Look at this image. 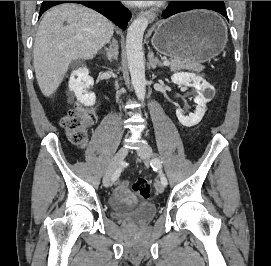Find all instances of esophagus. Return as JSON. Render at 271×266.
<instances>
[{
    "instance_id": "obj_1",
    "label": "esophagus",
    "mask_w": 271,
    "mask_h": 266,
    "mask_svg": "<svg viewBox=\"0 0 271 266\" xmlns=\"http://www.w3.org/2000/svg\"><path fill=\"white\" fill-rule=\"evenodd\" d=\"M138 17H146L149 19V21H153L156 18V12L147 10V11H141L137 14Z\"/></svg>"
}]
</instances>
